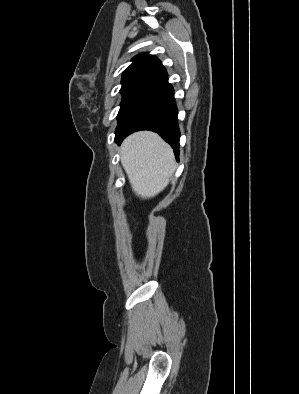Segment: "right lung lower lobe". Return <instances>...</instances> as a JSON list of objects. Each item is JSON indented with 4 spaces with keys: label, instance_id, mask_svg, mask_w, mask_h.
I'll return each instance as SVG.
<instances>
[{
    "label": "right lung lower lobe",
    "instance_id": "98d812e1",
    "mask_svg": "<svg viewBox=\"0 0 299 394\" xmlns=\"http://www.w3.org/2000/svg\"><path fill=\"white\" fill-rule=\"evenodd\" d=\"M139 130L157 132L174 149L178 159L180 132L174 90L168 78L144 92L127 110L115 131L120 144L129 134Z\"/></svg>",
    "mask_w": 299,
    "mask_h": 394
}]
</instances>
